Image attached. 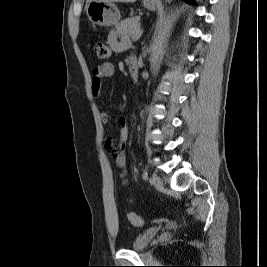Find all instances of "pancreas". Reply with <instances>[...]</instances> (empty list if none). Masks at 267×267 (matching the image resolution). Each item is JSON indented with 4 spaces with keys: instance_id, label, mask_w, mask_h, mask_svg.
<instances>
[{
    "instance_id": "pancreas-1",
    "label": "pancreas",
    "mask_w": 267,
    "mask_h": 267,
    "mask_svg": "<svg viewBox=\"0 0 267 267\" xmlns=\"http://www.w3.org/2000/svg\"><path fill=\"white\" fill-rule=\"evenodd\" d=\"M140 17H130L121 22V24L117 27L119 35L133 37L137 35L140 31Z\"/></svg>"
}]
</instances>
